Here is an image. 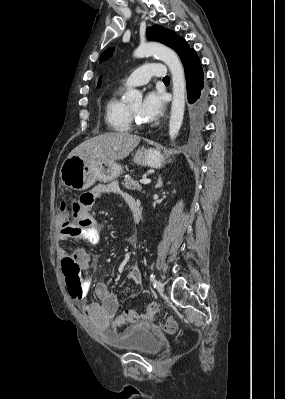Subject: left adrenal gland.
I'll list each match as a JSON object with an SVG mask.
<instances>
[{
    "mask_svg": "<svg viewBox=\"0 0 285 399\" xmlns=\"http://www.w3.org/2000/svg\"><path fill=\"white\" fill-rule=\"evenodd\" d=\"M163 185L162 178L159 176L158 183L156 184V189L161 188Z\"/></svg>",
    "mask_w": 285,
    "mask_h": 399,
    "instance_id": "left-adrenal-gland-1",
    "label": "left adrenal gland"
}]
</instances>
